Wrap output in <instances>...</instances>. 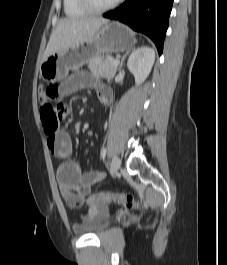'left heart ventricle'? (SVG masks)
Listing matches in <instances>:
<instances>
[{
  "instance_id": "obj_1",
  "label": "left heart ventricle",
  "mask_w": 227,
  "mask_h": 265,
  "mask_svg": "<svg viewBox=\"0 0 227 265\" xmlns=\"http://www.w3.org/2000/svg\"><path fill=\"white\" fill-rule=\"evenodd\" d=\"M114 0H92V2L96 5V6H106L108 4H110L111 2H113Z\"/></svg>"
}]
</instances>
